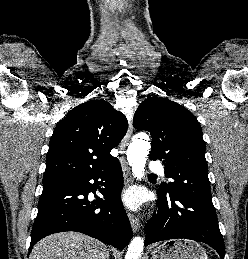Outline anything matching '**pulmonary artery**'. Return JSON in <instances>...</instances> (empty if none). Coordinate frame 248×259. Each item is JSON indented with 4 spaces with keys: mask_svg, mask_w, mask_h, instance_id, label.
Returning <instances> with one entry per match:
<instances>
[{
    "mask_svg": "<svg viewBox=\"0 0 248 259\" xmlns=\"http://www.w3.org/2000/svg\"><path fill=\"white\" fill-rule=\"evenodd\" d=\"M149 170L152 173H162L164 169H163V166L160 162L152 161L149 164Z\"/></svg>",
    "mask_w": 248,
    "mask_h": 259,
    "instance_id": "e3ab8cb5",
    "label": "pulmonary artery"
}]
</instances>
